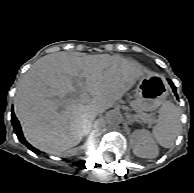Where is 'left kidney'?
I'll use <instances>...</instances> for the list:
<instances>
[{"mask_svg":"<svg viewBox=\"0 0 194 193\" xmlns=\"http://www.w3.org/2000/svg\"><path fill=\"white\" fill-rule=\"evenodd\" d=\"M132 137L133 152L136 156L149 159L157 157L159 148L148 130H135Z\"/></svg>","mask_w":194,"mask_h":193,"instance_id":"left-kidney-1","label":"left kidney"}]
</instances>
